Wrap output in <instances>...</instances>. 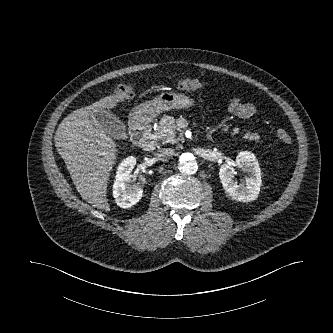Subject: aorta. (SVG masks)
Listing matches in <instances>:
<instances>
[{"label": "aorta", "mask_w": 333, "mask_h": 333, "mask_svg": "<svg viewBox=\"0 0 333 333\" xmlns=\"http://www.w3.org/2000/svg\"><path fill=\"white\" fill-rule=\"evenodd\" d=\"M178 169L181 173L192 175L197 172L198 164L194 155L190 152H183L179 156Z\"/></svg>", "instance_id": "762f6f07"}]
</instances>
